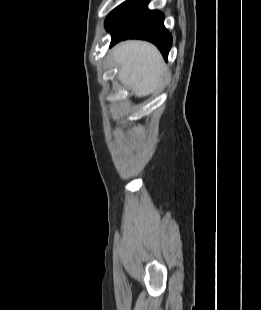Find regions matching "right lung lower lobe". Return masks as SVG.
<instances>
[{
    "mask_svg": "<svg viewBox=\"0 0 261 310\" xmlns=\"http://www.w3.org/2000/svg\"><path fill=\"white\" fill-rule=\"evenodd\" d=\"M149 0H132L109 24L111 46L128 38L146 39L154 43L165 59L172 44L171 34L164 27V15L147 9Z\"/></svg>",
    "mask_w": 261,
    "mask_h": 310,
    "instance_id": "1",
    "label": "right lung lower lobe"
}]
</instances>
